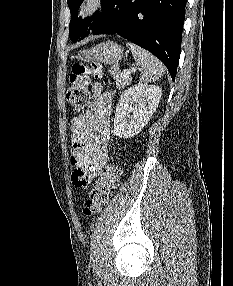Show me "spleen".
<instances>
[{"label":"spleen","instance_id":"1","mask_svg":"<svg viewBox=\"0 0 233 286\" xmlns=\"http://www.w3.org/2000/svg\"><path fill=\"white\" fill-rule=\"evenodd\" d=\"M138 66L141 67V84L156 81L164 72L163 64L149 51L134 43H127Z\"/></svg>","mask_w":233,"mask_h":286}]
</instances>
